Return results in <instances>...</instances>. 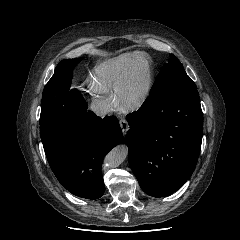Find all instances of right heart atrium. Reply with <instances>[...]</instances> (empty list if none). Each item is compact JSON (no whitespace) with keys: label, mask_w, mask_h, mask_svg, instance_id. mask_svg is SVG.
Masks as SVG:
<instances>
[{"label":"right heart atrium","mask_w":240,"mask_h":240,"mask_svg":"<svg viewBox=\"0 0 240 240\" xmlns=\"http://www.w3.org/2000/svg\"><path fill=\"white\" fill-rule=\"evenodd\" d=\"M87 88L93 95L106 94L107 90L94 81H87Z\"/></svg>","instance_id":"1"}]
</instances>
